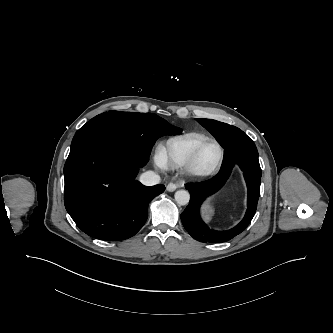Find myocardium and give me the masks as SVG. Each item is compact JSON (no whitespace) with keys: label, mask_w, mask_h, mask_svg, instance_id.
<instances>
[{"label":"myocardium","mask_w":333,"mask_h":333,"mask_svg":"<svg viewBox=\"0 0 333 333\" xmlns=\"http://www.w3.org/2000/svg\"><path fill=\"white\" fill-rule=\"evenodd\" d=\"M209 144H215L219 150V156L216 162L208 169L201 170L198 168V159L202 152V150ZM225 156V151L223 146L214 138H208L202 143H200L197 148L192 153L191 157L189 158L188 162L186 163L185 171L186 173L195 179H206L212 176L221 166Z\"/></svg>","instance_id":"myocardium-1"}]
</instances>
